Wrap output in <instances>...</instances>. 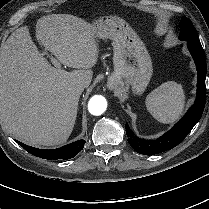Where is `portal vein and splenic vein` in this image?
Wrapping results in <instances>:
<instances>
[{
    "label": "portal vein and splenic vein",
    "instance_id": "portal-vein-and-splenic-vein-1",
    "mask_svg": "<svg viewBox=\"0 0 209 209\" xmlns=\"http://www.w3.org/2000/svg\"><path fill=\"white\" fill-rule=\"evenodd\" d=\"M51 61H52L53 65H54L57 69H61V65H60V63L58 62L57 59L51 57Z\"/></svg>",
    "mask_w": 209,
    "mask_h": 209
}]
</instances>
